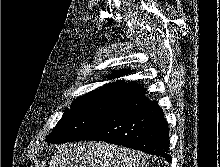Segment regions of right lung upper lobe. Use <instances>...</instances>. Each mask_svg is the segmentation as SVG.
I'll return each instance as SVG.
<instances>
[{
    "mask_svg": "<svg viewBox=\"0 0 220 167\" xmlns=\"http://www.w3.org/2000/svg\"><path fill=\"white\" fill-rule=\"evenodd\" d=\"M126 71V70H125ZM121 75L120 71H113L111 78L119 77ZM142 88L140 85L125 83L123 80L108 83L99 89H96L86 96L79 97L77 100L87 99V98H108L117 99L122 95L135 91Z\"/></svg>",
    "mask_w": 220,
    "mask_h": 167,
    "instance_id": "obj_1",
    "label": "right lung upper lobe"
}]
</instances>
